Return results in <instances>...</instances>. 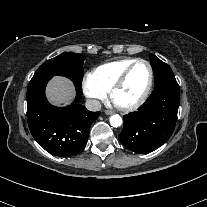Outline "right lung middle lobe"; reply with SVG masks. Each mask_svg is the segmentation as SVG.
<instances>
[{"label":"right lung middle lobe","mask_w":207,"mask_h":207,"mask_svg":"<svg viewBox=\"0 0 207 207\" xmlns=\"http://www.w3.org/2000/svg\"><path fill=\"white\" fill-rule=\"evenodd\" d=\"M85 56L72 52L62 53L44 62L35 72L33 78L39 76H64L75 85L80 86L83 78V62Z\"/></svg>","instance_id":"obj_1"}]
</instances>
